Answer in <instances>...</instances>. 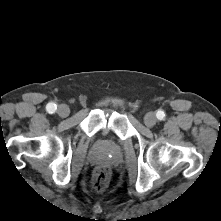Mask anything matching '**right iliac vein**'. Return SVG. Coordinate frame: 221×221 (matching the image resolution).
Returning <instances> with one entry per match:
<instances>
[{
	"instance_id": "1",
	"label": "right iliac vein",
	"mask_w": 221,
	"mask_h": 221,
	"mask_svg": "<svg viewBox=\"0 0 221 221\" xmlns=\"http://www.w3.org/2000/svg\"><path fill=\"white\" fill-rule=\"evenodd\" d=\"M57 113L60 117L65 118L69 115L70 110L69 107L65 104H62L58 107Z\"/></svg>"
}]
</instances>
